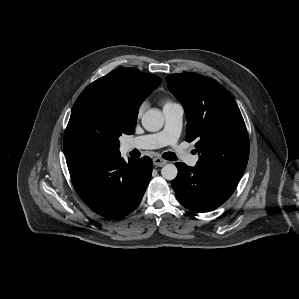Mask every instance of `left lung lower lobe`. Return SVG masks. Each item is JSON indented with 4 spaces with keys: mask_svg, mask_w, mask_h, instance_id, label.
<instances>
[{
    "mask_svg": "<svg viewBox=\"0 0 299 299\" xmlns=\"http://www.w3.org/2000/svg\"><path fill=\"white\" fill-rule=\"evenodd\" d=\"M177 177L171 185L177 200L194 212H208L222 205L234 192L237 180L209 172L199 166L176 163Z\"/></svg>",
    "mask_w": 299,
    "mask_h": 299,
    "instance_id": "left-lung-lower-lobe-1",
    "label": "left lung lower lobe"
}]
</instances>
